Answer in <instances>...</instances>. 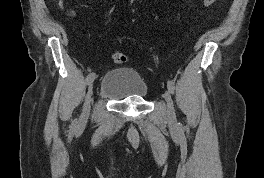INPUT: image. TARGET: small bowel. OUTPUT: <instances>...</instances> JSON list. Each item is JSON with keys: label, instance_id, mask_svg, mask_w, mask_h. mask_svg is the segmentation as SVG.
Returning a JSON list of instances; mask_svg holds the SVG:
<instances>
[{"label": "small bowel", "instance_id": "small-bowel-1", "mask_svg": "<svg viewBox=\"0 0 264 178\" xmlns=\"http://www.w3.org/2000/svg\"><path fill=\"white\" fill-rule=\"evenodd\" d=\"M215 0H206L205 5H211Z\"/></svg>", "mask_w": 264, "mask_h": 178}]
</instances>
